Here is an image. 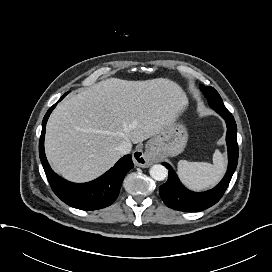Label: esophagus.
Listing matches in <instances>:
<instances>
[{"mask_svg":"<svg viewBox=\"0 0 272 272\" xmlns=\"http://www.w3.org/2000/svg\"><path fill=\"white\" fill-rule=\"evenodd\" d=\"M133 160L135 165L146 168L149 167L154 161L155 158L149 151H142L141 149H138L134 151L133 153Z\"/></svg>","mask_w":272,"mask_h":272,"instance_id":"1","label":"esophagus"}]
</instances>
